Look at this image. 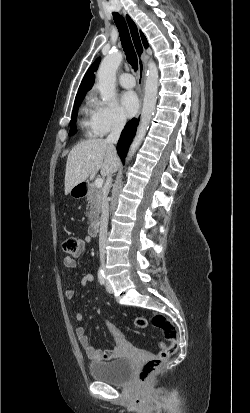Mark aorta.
<instances>
[{
  "label": "aorta",
  "instance_id": "762f6f07",
  "mask_svg": "<svg viewBox=\"0 0 250 413\" xmlns=\"http://www.w3.org/2000/svg\"><path fill=\"white\" fill-rule=\"evenodd\" d=\"M123 59V55L120 52H113L107 55L101 62L97 78V87L100 91V95L103 101H109L115 93V76L118 67ZM158 92V69L156 64L151 61L148 64L147 79L145 83V94L143 101V108L141 112L140 123L137 129L136 136L130 146V150L127 156L129 160L136 150L141 145L146 132L149 128L152 115L155 110L156 100Z\"/></svg>",
  "mask_w": 250,
  "mask_h": 413
}]
</instances>
